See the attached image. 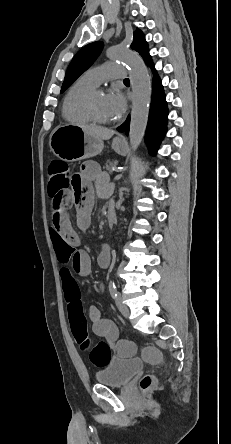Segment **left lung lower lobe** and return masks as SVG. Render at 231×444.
Here are the masks:
<instances>
[{"label":"left lung lower lobe","instance_id":"obj_1","mask_svg":"<svg viewBox=\"0 0 231 444\" xmlns=\"http://www.w3.org/2000/svg\"><path fill=\"white\" fill-rule=\"evenodd\" d=\"M144 61L150 66L154 75L152 100L146 131V142L148 144L150 154L155 155L156 150L166 133L168 108L161 80L156 74V70L152 65L150 56H148ZM129 123L130 118L128 117L126 122L117 128L118 131L126 132L128 134Z\"/></svg>","mask_w":231,"mask_h":444}]
</instances>
